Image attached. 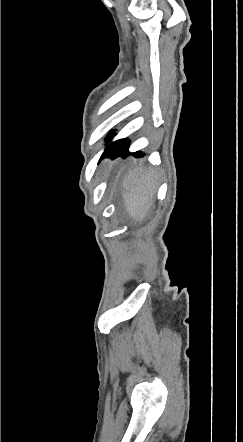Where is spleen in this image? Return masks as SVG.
<instances>
[{"label": "spleen", "instance_id": "1", "mask_svg": "<svg viewBox=\"0 0 243 442\" xmlns=\"http://www.w3.org/2000/svg\"><path fill=\"white\" fill-rule=\"evenodd\" d=\"M142 178H144V176ZM139 181L140 179L134 176L130 180L131 185L129 186V189L132 192H140L143 189V186L139 183ZM127 204L132 216H138L139 219L144 217L145 201L138 195L132 193L129 194L127 196Z\"/></svg>", "mask_w": 243, "mask_h": 442}]
</instances>
